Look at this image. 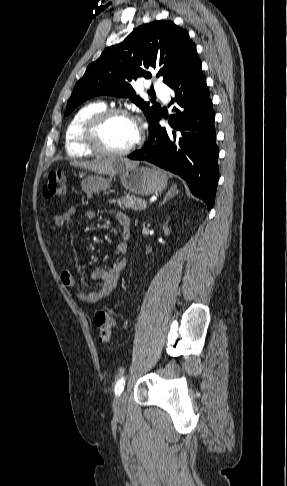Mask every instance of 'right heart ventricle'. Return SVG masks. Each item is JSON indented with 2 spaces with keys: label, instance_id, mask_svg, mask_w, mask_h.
<instances>
[{
  "label": "right heart ventricle",
  "instance_id": "right-heart-ventricle-1",
  "mask_svg": "<svg viewBox=\"0 0 287 486\" xmlns=\"http://www.w3.org/2000/svg\"><path fill=\"white\" fill-rule=\"evenodd\" d=\"M103 102H90L80 107L68 123L65 131V150L70 157H89L93 153L82 142V129L86 120L105 109Z\"/></svg>",
  "mask_w": 287,
  "mask_h": 486
}]
</instances>
